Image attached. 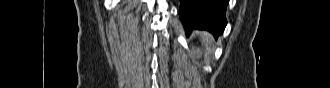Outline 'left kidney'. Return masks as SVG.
Returning <instances> with one entry per match:
<instances>
[{
	"label": "left kidney",
	"mask_w": 330,
	"mask_h": 88,
	"mask_svg": "<svg viewBox=\"0 0 330 88\" xmlns=\"http://www.w3.org/2000/svg\"><path fill=\"white\" fill-rule=\"evenodd\" d=\"M197 57H201V52L199 50L196 51Z\"/></svg>",
	"instance_id": "1"
}]
</instances>
